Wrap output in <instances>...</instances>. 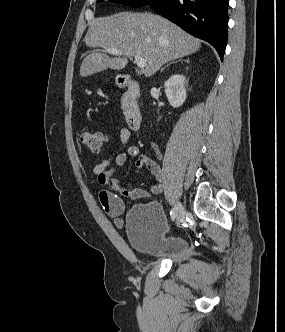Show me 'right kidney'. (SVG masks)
<instances>
[{
	"label": "right kidney",
	"mask_w": 285,
	"mask_h": 332,
	"mask_svg": "<svg viewBox=\"0 0 285 332\" xmlns=\"http://www.w3.org/2000/svg\"><path fill=\"white\" fill-rule=\"evenodd\" d=\"M185 76L180 74L172 75L165 81L164 88L170 105L174 108L180 107L186 100Z\"/></svg>",
	"instance_id": "obj_1"
}]
</instances>
